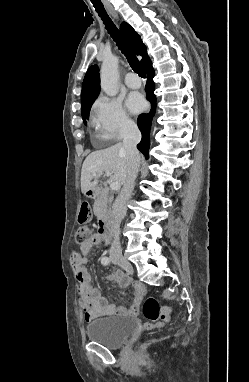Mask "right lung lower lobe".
I'll return each mask as SVG.
<instances>
[{
    "instance_id": "obj_1",
    "label": "right lung lower lobe",
    "mask_w": 249,
    "mask_h": 382,
    "mask_svg": "<svg viewBox=\"0 0 249 382\" xmlns=\"http://www.w3.org/2000/svg\"><path fill=\"white\" fill-rule=\"evenodd\" d=\"M143 68L148 77L145 90L147 100L151 103V110L149 113L140 114L137 119L138 127L142 133L141 142L137 145V147L146 158H149V130L151 126L152 117L156 111V96L154 95L155 86L153 82L154 70L152 68V63L150 59L143 65Z\"/></svg>"
}]
</instances>
